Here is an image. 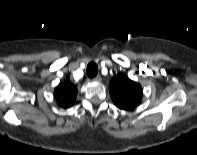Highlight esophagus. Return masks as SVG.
<instances>
[{"label": "esophagus", "instance_id": "1", "mask_svg": "<svg viewBox=\"0 0 197 155\" xmlns=\"http://www.w3.org/2000/svg\"><path fill=\"white\" fill-rule=\"evenodd\" d=\"M94 81L96 82H100L101 81V76L100 75H97L93 78Z\"/></svg>", "mask_w": 197, "mask_h": 155}]
</instances>
